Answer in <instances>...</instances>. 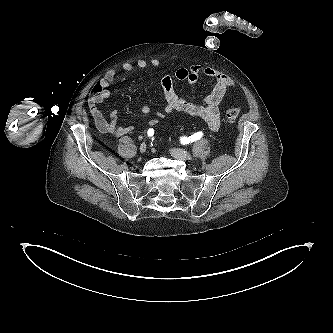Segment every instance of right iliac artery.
<instances>
[{"label":"right iliac artery","mask_w":333,"mask_h":333,"mask_svg":"<svg viewBox=\"0 0 333 333\" xmlns=\"http://www.w3.org/2000/svg\"><path fill=\"white\" fill-rule=\"evenodd\" d=\"M147 134L150 137L153 136L154 135V129L153 128L148 129Z\"/></svg>","instance_id":"right-iliac-artery-1"}]
</instances>
